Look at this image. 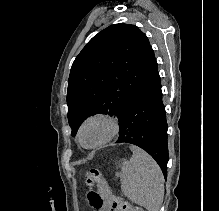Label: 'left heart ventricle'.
<instances>
[{
    "label": "left heart ventricle",
    "mask_w": 219,
    "mask_h": 211,
    "mask_svg": "<svg viewBox=\"0 0 219 211\" xmlns=\"http://www.w3.org/2000/svg\"><path fill=\"white\" fill-rule=\"evenodd\" d=\"M107 131V126L102 121L88 123L82 132V142L87 146L95 145L102 140Z\"/></svg>",
    "instance_id": "obj_1"
}]
</instances>
